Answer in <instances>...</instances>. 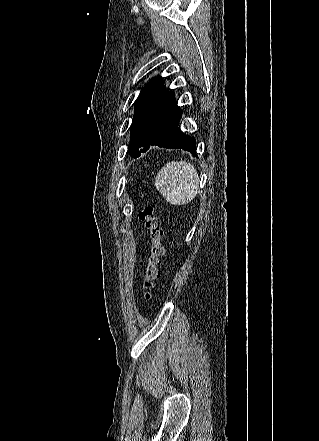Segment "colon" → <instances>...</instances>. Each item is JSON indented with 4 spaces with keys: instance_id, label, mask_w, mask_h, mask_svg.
Segmentation results:
<instances>
[{
    "instance_id": "obj_1",
    "label": "colon",
    "mask_w": 319,
    "mask_h": 441,
    "mask_svg": "<svg viewBox=\"0 0 319 441\" xmlns=\"http://www.w3.org/2000/svg\"><path fill=\"white\" fill-rule=\"evenodd\" d=\"M139 218L144 222L151 239L148 265L142 281V297L144 300H149L151 298V289L155 281L160 277V266L164 255V247L162 246L163 230L159 226V220L154 215V209L150 204L145 202L142 204L139 210Z\"/></svg>"
}]
</instances>
